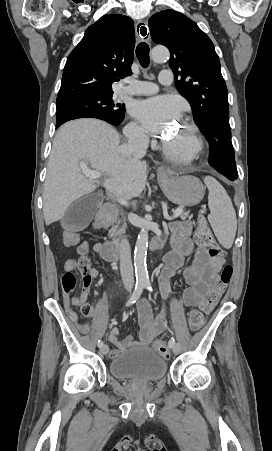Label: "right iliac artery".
<instances>
[{
	"label": "right iliac artery",
	"mask_w": 272,
	"mask_h": 451,
	"mask_svg": "<svg viewBox=\"0 0 272 451\" xmlns=\"http://www.w3.org/2000/svg\"><path fill=\"white\" fill-rule=\"evenodd\" d=\"M144 288H145L144 281L136 282L135 289H134L132 295L130 296L129 300L127 301L126 306H130V305L134 304L141 296ZM102 346H103V342L99 340L98 347L100 348Z\"/></svg>",
	"instance_id": "82829eb1"
}]
</instances>
